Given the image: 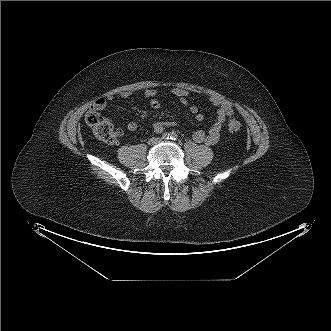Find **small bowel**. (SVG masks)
Listing matches in <instances>:
<instances>
[{"label": "small bowel", "mask_w": 331, "mask_h": 331, "mask_svg": "<svg viewBox=\"0 0 331 331\" xmlns=\"http://www.w3.org/2000/svg\"><path fill=\"white\" fill-rule=\"evenodd\" d=\"M136 94L137 91L135 90H126L122 91L119 96L123 99H127L132 96H135ZM170 94L177 97L183 105L188 106L189 92L187 90L181 88H174L170 91ZM157 95L158 91L156 89H146L143 93L144 98L149 101L150 106L154 109L160 107V101L158 100ZM114 98V95H108L106 99L99 98L93 103L92 109L97 111L103 110L107 102L113 101ZM208 101L211 105L217 108V117L208 132H204L203 130H197L193 133L192 138L197 143L215 145L218 142L220 138V133L226 124V119L235 114V109L233 104L229 100L216 95L210 96L208 98ZM189 110L193 114L194 119L197 122H201L204 119V115L199 111V108L197 106H189ZM174 125H176L175 122L155 121L152 127L156 133H161L167 126ZM127 129L131 132L136 131L138 129V122L135 120L128 122Z\"/></svg>", "instance_id": "small-bowel-1"}]
</instances>
